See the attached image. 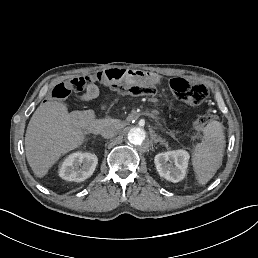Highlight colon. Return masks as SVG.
I'll return each mask as SVG.
<instances>
[{
    "instance_id": "1",
    "label": "colon",
    "mask_w": 258,
    "mask_h": 258,
    "mask_svg": "<svg viewBox=\"0 0 258 258\" xmlns=\"http://www.w3.org/2000/svg\"><path fill=\"white\" fill-rule=\"evenodd\" d=\"M93 83L91 76H78L67 82L56 85L52 91L55 99L66 98L72 91H84ZM170 88L174 95L182 102L197 105L204 102L208 92L204 85L189 81L184 78H173L170 80ZM115 90L122 95L145 96L154 93V88L145 85L138 80H128L115 86ZM215 115L207 114L198 118L194 127L202 128L215 119Z\"/></svg>"
}]
</instances>
